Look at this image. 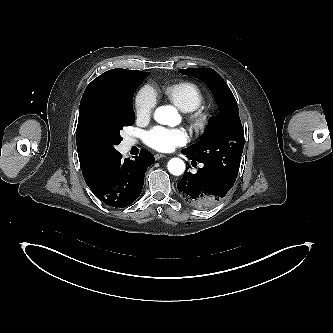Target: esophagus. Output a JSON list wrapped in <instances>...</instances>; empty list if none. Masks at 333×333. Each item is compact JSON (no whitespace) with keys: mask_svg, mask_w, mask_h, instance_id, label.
<instances>
[{"mask_svg":"<svg viewBox=\"0 0 333 333\" xmlns=\"http://www.w3.org/2000/svg\"><path fill=\"white\" fill-rule=\"evenodd\" d=\"M155 160H159V159H161V158H166V155H164V154H155Z\"/></svg>","mask_w":333,"mask_h":333,"instance_id":"34e87169","label":"esophagus"}]
</instances>
